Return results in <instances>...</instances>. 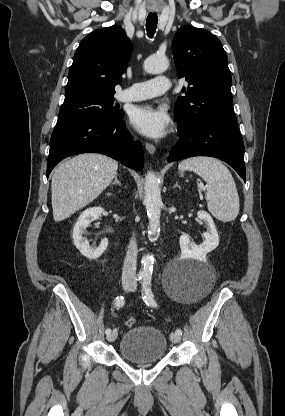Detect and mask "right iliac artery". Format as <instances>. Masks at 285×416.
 I'll return each mask as SVG.
<instances>
[{
    "label": "right iliac artery",
    "mask_w": 285,
    "mask_h": 416,
    "mask_svg": "<svg viewBox=\"0 0 285 416\" xmlns=\"http://www.w3.org/2000/svg\"><path fill=\"white\" fill-rule=\"evenodd\" d=\"M142 277H143L142 274H138L136 280H141ZM124 303H125V301H124V297L123 296H118L114 300V305H115V307H118V308L123 307ZM105 333L107 335L110 334L111 333V329L110 328H106Z\"/></svg>",
    "instance_id": "right-iliac-artery-1"
}]
</instances>
